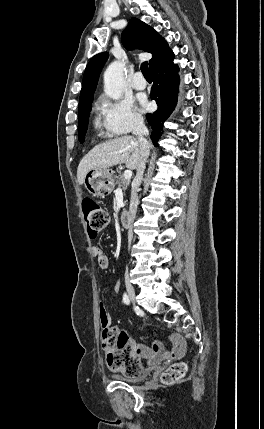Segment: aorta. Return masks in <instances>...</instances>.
Returning a JSON list of instances; mask_svg holds the SVG:
<instances>
[{"instance_id":"aorta-1","label":"aorta","mask_w":264,"mask_h":429,"mask_svg":"<svg viewBox=\"0 0 264 429\" xmlns=\"http://www.w3.org/2000/svg\"><path fill=\"white\" fill-rule=\"evenodd\" d=\"M124 85L123 64L114 61L104 73V92L110 98L118 100L122 96Z\"/></svg>"}]
</instances>
